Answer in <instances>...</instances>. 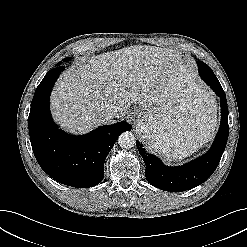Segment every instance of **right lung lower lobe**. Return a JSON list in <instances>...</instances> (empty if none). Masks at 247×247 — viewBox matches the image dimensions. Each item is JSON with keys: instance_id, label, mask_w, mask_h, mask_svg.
I'll return each mask as SVG.
<instances>
[{"instance_id": "98d812e1", "label": "right lung lower lobe", "mask_w": 247, "mask_h": 247, "mask_svg": "<svg viewBox=\"0 0 247 247\" xmlns=\"http://www.w3.org/2000/svg\"><path fill=\"white\" fill-rule=\"evenodd\" d=\"M64 66H57L38 85L28 118L30 142L37 162L54 180L87 188L104 177V162L117 137L132 126L126 122L101 126L84 136H73L58 128L49 111L52 87Z\"/></svg>"}]
</instances>
